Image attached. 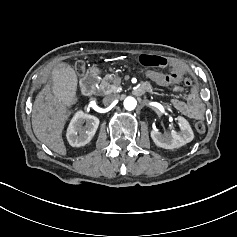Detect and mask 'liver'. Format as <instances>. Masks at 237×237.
I'll return each instance as SVG.
<instances>
[{
	"label": "liver",
	"mask_w": 237,
	"mask_h": 237,
	"mask_svg": "<svg viewBox=\"0 0 237 237\" xmlns=\"http://www.w3.org/2000/svg\"><path fill=\"white\" fill-rule=\"evenodd\" d=\"M32 127L35 136L47 147L60 155H66L62 139L65 121L70 115L65 105L58 102L50 92L39 93L34 102Z\"/></svg>",
	"instance_id": "obj_1"
}]
</instances>
